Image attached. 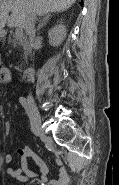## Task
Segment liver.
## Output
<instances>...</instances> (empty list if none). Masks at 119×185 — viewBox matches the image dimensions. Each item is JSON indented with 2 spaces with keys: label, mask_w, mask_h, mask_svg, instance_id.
I'll return each instance as SVG.
<instances>
[{
  "label": "liver",
  "mask_w": 119,
  "mask_h": 185,
  "mask_svg": "<svg viewBox=\"0 0 119 185\" xmlns=\"http://www.w3.org/2000/svg\"><path fill=\"white\" fill-rule=\"evenodd\" d=\"M76 0H0V29L5 27L25 28L26 15L31 11L35 16L65 11ZM12 14L9 16V12Z\"/></svg>",
  "instance_id": "1"
}]
</instances>
